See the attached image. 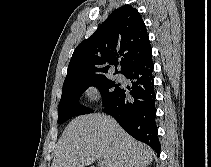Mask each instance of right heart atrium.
<instances>
[{
  "label": "right heart atrium",
  "instance_id": "obj_1",
  "mask_svg": "<svg viewBox=\"0 0 211 167\" xmlns=\"http://www.w3.org/2000/svg\"><path fill=\"white\" fill-rule=\"evenodd\" d=\"M88 96L94 97L96 95V90L94 88H90L87 92Z\"/></svg>",
  "mask_w": 211,
  "mask_h": 167
}]
</instances>
